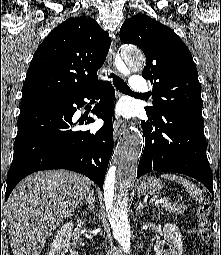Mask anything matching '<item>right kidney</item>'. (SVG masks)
<instances>
[{
    "label": "right kidney",
    "instance_id": "ca27d5eb",
    "mask_svg": "<svg viewBox=\"0 0 221 255\" xmlns=\"http://www.w3.org/2000/svg\"><path fill=\"white\" fill-rule=\"evenodd\" d=\"M78 226H83L85 220L77 219ZM74 224L72 222L64 224L55 235L51 244L49 255H65L68 252V243L70 242ZM70 255H78L74 250H70Z\"/></svg>",
    "mask_w": 221,
    "mask_h": 255
}]
</instances>
